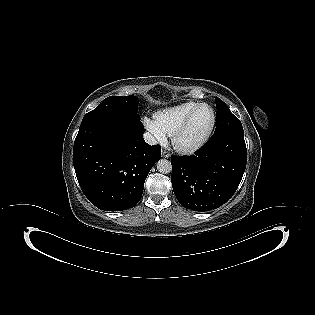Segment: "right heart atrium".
Wrapping results in <instances>:
<instances>
[{"label": "right heart atrium", "instance_id": "d8ad5b80", "mask_svg": "<svg viewBox=\"0 0 315 315\" xmlns=\"http://www.w3.org/2000/svg\"><path fill=\"white\" fill-rule=\"evenodd\" d=\"M145 128L151 133V135L161 144L165 143L167 140V135L157 124L155 119L145 117L143 120Z\"/></svg>", "mask_w": 315, "mask_h": 315}]
</instances>
